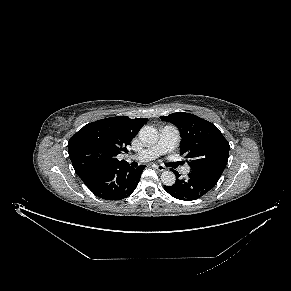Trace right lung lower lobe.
Segmentation results:
<instances>
[{"instance_id":"right-lung-lower-lobe-1","label":"right lung lower lobe","mask_w":291,"mask_h":291,"mask_svg":"<svg viewBox=\"0 0 291 291\" xmlns=\"http://www.w3.org/2000/svg\"><path fill=\"white\" fill-rule=\"evenodd\" d=\"M145 166L132 168L129 164L118 167H97L79 176L85 185L99 198L121 200L137 187Z\"/></svg>"}]
</instances>
